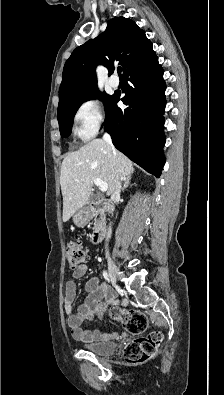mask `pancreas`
I'll use <instances>...</instances> for the list:
<instances>
[{
    "label": "pancreas",
    "mask_w": 224,
    "mask_h": 395,
    "mask_svg": "<svg viewBox=\"0 0 224 395\" xmlns=\"http://www.w3.org/2000/svg\"><path fill=\"white\" fill-rule=\"evenodd\" d=\"M100 215H99V219L95 221V225H94V229L99 228L100 224L102 222H104L106 215L103 209H100L97 211Z\"/></svg>",
    "instance_id": "1"
}]
</instances>
